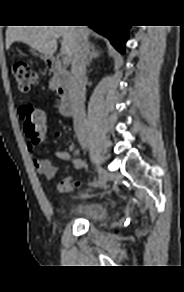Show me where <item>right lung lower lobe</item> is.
Returning <instances> with one entry per match:
<instances>
[{
  "label": "right lung lower lobe",
  "mask_w": 184,
  "mask_h": 292,
  "mask_svg": "<svg viewBox=\"0 0 184 292\" xmlns=\"http://www.w3.org/2000/svg\"><path fill=\"white\" fill-rule=\"evenodd\" d=\"M99 34L110 39L112 45L121 53L125 52V42L128 38V28L130 26H110L103 24L90 25Z\"/></svg>",
  "instance_id": "1"
}]
</instances>
